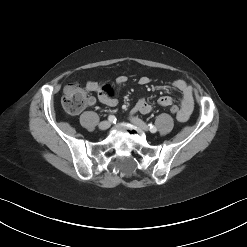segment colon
I'll return each instance as SVG.
<instances>
[{
    "instance_id": "obj_1",
    "label": "colon",
    "mask_w": 247,
    "mask_h": 247,
    "mask_svg": "<svg viewBox=\"0 0 247 247\" xmlns=\"http://www.w3.org/2000/svg\"><path fill=\"white\" fill-rule=\"evenodd\" d=\"M87 100L86 90L77 83H71L64 90L62 105L68 113L76 114L87 105ZM169 110L171 114L177 117L180 109L176 105H171Z\"/></svg>"
}]
</instances>
